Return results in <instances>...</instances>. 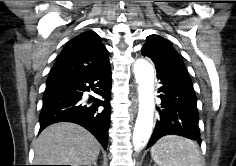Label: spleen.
<instances>
[{"label": "spleen", "mask_w": 236, "mask_h": 166, "mask_svg": "<svg viewBox=\"0 0 236 166\" xmlns=\"http://www.w3.org/2000/svg\"><path fill=\"white\" fill-rule=\"evenodd\" d=\"M151 156L159 166H201L196 144L175 135L161 138L151 148Z\"/></svg>", "instance_id": "obj_1"}]
</instances>
